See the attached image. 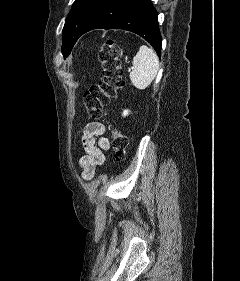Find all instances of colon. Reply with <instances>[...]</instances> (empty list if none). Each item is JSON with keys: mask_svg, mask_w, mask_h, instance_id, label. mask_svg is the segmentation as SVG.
<instances>
[{"mask_svg": "<svg viewBox=\"0 0 240 281\" xmlns=\"http://www.w3.org/2000/svg\"><path fill=\"white\" fill-rule=\"evenodd\" d=\"M102 76L84 93L83 102L89 117L99 120L104 107L115 98L117 91L124 86L122 66L119 59V47L113 39H106L99 52ZM112 144L117 160L126 155L127 137L119 130L112 132Z\"/></svg>", "mask_w": 240, "mask_h": 281, "instance_id": "1", "label": "colon"}]
</instances>
